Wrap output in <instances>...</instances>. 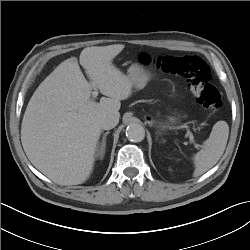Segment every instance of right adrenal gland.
<instances>
[{
  "instance_id": "obj_1",
  "label": "right adrenal gland",
  "mask_w": 250,
  "mask_h": 250,
  "mask_svg": "<svg viewBox=\"0 0 250 250\" xmlns=\"http://www.w3.org/2000/svg\"><path fill=\"white\" fill-rule=\"evenodd\" d=\"M109 133H110L109 131L106 132V133H104L103 138H102V142L97 147V154H96V156L99 157L100 159H102L104 157L105 148H106V136Z\"/></svg>"
}]
</instances>
